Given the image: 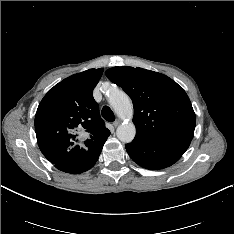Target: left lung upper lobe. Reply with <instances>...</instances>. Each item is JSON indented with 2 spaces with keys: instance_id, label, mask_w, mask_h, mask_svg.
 Returning <instances> with one entry per match:
<instances>
[{
  "instance_id": "5c2ea615",
  "label": "left lung upper lobe",
  "mask_w": 234,
  "mask_h": 234,
  "mask_svg": "<svg viewBox=\"0 0 234 234\" xmlns=\"http://www.w3.org/2000/svg\"><path fill=\"white\" fill-rule=\"evenodd\" d=\"M106 76L132 99L134 140H192L195 113L186 92L175 81L161 73L133 67H113Z\"/></svg>"
}]
</instances>
